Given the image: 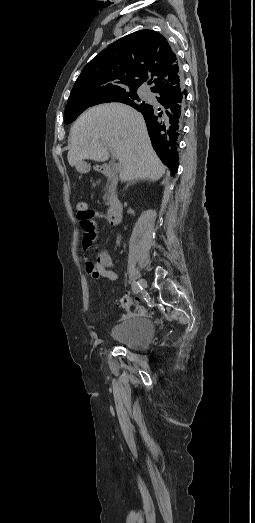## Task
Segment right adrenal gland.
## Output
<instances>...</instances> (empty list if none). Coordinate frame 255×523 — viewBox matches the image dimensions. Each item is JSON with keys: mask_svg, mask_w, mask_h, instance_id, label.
I'll use <instances>...</instances> for the list:
<instances>
[{"mask_svg": "<svg viewBox=\"0 0 255 523\" xmlns=\"http://www.w3.org/2000/svg\"><path fill=\"white\" fill-rule=\"evenodd\" d=\"M130 184H131V182H130ZM130 184H126L124 190H126V188H128V186H130Z\"/></svg>", "mask_w": 255, "mask_h": 523, "instance_id": "obj_1", "label": "right adrenal gland"}]
</instances>
